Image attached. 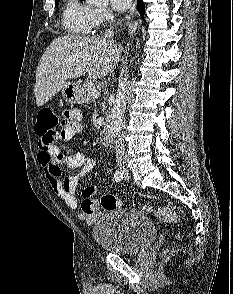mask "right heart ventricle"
<instances>
[{
	"instance_id": "1",
	"label": "right heart ventricle",
	"mask_w": 233,
	"mask_h": 294,
	"mask_svg": "<svg viewBox=\"0 0 233 294\" xmlns=\"http://www.w3.org/2000/svg\"><path fill=\"white\" fill-rule=\"evenodd\" d=\"M62 26L75 36H85L95 27L93 8L80 0H65L62 13Z\"/></svg>"
}]
</instances>
